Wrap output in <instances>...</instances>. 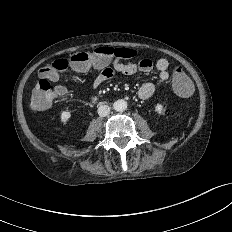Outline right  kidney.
I'll return each instance as SVG.
<instances>
[{
  "instance_id": "ca27d5eb",
  "label": "right kidney",
  "mask_w": 232,
  "mask_h": 232,
  "mask_svg": "<svg viewBox=\"0 0 232 232\" xmlns=\"http://www.w3.org/2000/svg\"><path fill=\"white\" fill-rule=\"evenodd\" d=\"M71 117V113L69 111H63L61 113V121L63 122V124H66L69 119Z\"/></svg>"
}]
</instances>
